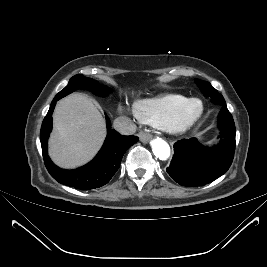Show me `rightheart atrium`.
Here are the masks:
<instances>
[{
  "mask_svg": "<svg viewBox=\"0 0 267 267\" xmlns=\"http://www.w3.org/2000/svg\"><path fill=\"white\" fill-rule=\"evenodd\" d=\"M121 110L124 111V112H126V108H125V107H121ZM133 115H134L135 117H137V115H136V113H135V110H133ZM137 118H138V117H137Z\"/></svg>",
  "mask_w": 267,
  "mask_h": 267,
  "instance_id": "right-heart-atrium-1",
  "label": "right heart atrium"
}]
</instances>
